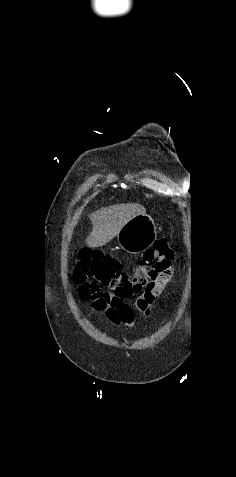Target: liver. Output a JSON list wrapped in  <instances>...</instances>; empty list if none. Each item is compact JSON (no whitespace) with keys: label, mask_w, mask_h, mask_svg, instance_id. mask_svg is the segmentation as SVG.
<instances>
[{"label":"liver","mask_w":236,"mask_h":477,"mask_svg":"<svg viewBox=\"0 0 236 477\" xmlns=\"http://www.w3.org/2000/svg\"><path fill=\"white\" fill-rule=\"evenodd\" d=\"M146 214V209L140 204H118L101 208L90 215L92 231L86 243L96 248L107 244L118 235L122 227L134 216Z\"/></svg>","instance_id":"obj_1"}]
</instances>
